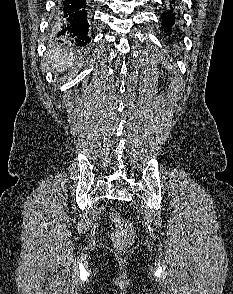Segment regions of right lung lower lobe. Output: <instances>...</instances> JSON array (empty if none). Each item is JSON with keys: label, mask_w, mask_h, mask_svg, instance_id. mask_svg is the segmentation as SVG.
<instances>
[{"label": "right lung lower lobe", "mask_w": 233, "mask_h": 294, "mask_svg": "<svg viewBox=\"0 0 233 294\" xmlns=\"http://www.w3.org/2000/svg\"><path fill=\"white\" fill-rule=\"evenodd\" d=\"M86 0H60L53 21V31L75 43L84 46L89 43Z\"/></svg>", "instance_id": "right-lung-lower-lobe-1"}]
</instances>
